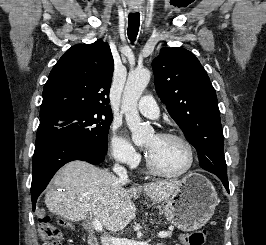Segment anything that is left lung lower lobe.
<instances>
[{
	"instance_id": "obj_1",
	"label": "left lung lower lobe",
	"mask_w": 266,
	"mask_h": 245,
	"mask_svg": "<svg viewBox=\"0 0 266 245\" xmlns=\"http://www.w3.org/2000/svg\"><path fill=\"white\" fill-rule=\"evenodd\" d=\"M217 176L221 179L224 187L226 188L227 192L229 193V185H228L227 175H217Z\"/></svg>"
}]
</instances>
